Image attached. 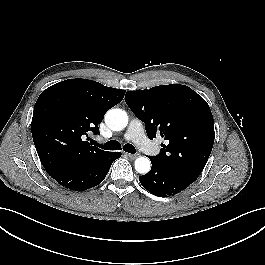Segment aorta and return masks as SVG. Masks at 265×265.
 <instances>
[{"label":"aorta","mask_w":265,"mask_h":265,"mask_svg":"<svg viewBox=\"0 0 265 265\" xmlns=\"http://www.w3.org/2000/svg\"><path fill=\"white\" fill-rule=\"evenodd\" d=\"M107 126L114 130H123L128 124V115L122 109H111L105 115ZM135 170L140 174H146L150 171L151 163L147 157H139L135 160Z\"/></svg>","instance_id":"762f6f07"}]
</instances>
